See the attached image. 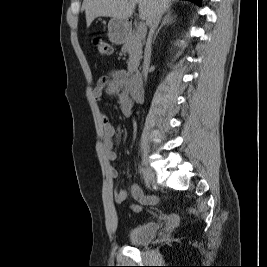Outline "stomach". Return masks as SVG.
I'll return each instance as SVG.
<instances>
[{
	"label": "stomach",
	"mask_w": 267,
	"mask_h": 267,
	"mask_svg": "<svg viewBox=\"0 0 267 267\" xmlns=\"http://www.w3.org/2000/svg\"><path fill=\"white\" fill-rule=\"evenodd\" d=\"M129 22L123 19L112 18L108 23V37L112 43H122L129 32Z\"/></svg>",
	"instance_id": "obj_1"
}]
</instances>
